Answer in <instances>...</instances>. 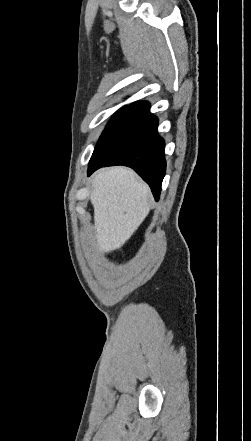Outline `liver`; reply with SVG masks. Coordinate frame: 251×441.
I'll list each match as a JSON object with an SVG mask.
<instances>
[{
  "mask_svg": "<svg viewBox=\"0 0 251 441\" xmlns=\"http://www.w3.org/2000/svg\"><path fill=\"white\" fill-rule=\"evenodd\" d=\"M91 184L97 248L109 253L121 248L148 215L150 189L126 167L101 169Z\"/></svg>",
  "mask_w": 251,
  "mask_h": 441,
  "instance_id": "1",
  "label": "liver"
}]
</instances>
